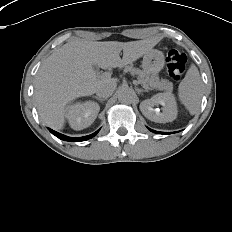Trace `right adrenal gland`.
<instances>
[{"instance_id": "right-adrenal-gland-1", "label": "right adrenal gland", "mask_w": 232, "mask_h": 232, "mask_svg": "<svg viewBox=\"0 0 232 232\" xmlns=\"http://www.w3.org/2000/svg\"><path fill=\"white\" fill-rule=\"evenodd\" d=\"M93 98H95L96 100L100 101L101 103H102L103 101H105V100H106V99H102V98L97 97V96H93Z\"/></svg>"}]
</instances>
